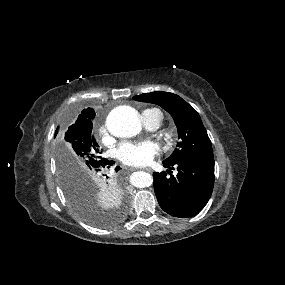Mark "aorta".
Instances as JSON below:
<instances>
[{
	"label": "aorta",
	"mask_w": 285,
	"mask_h": 285,
	"mask_svg": "<svg viewBox=\"0 0 285 285\" xmlns=\"http://www.w3.org/2000/svg\"><path fill=\"white\" fill-rule=\"evenodd\" d=\"M108 131L115 137L126 138L137 135L141 131V118L138 111L130 106L114 108L106 119ZM152 176L143 171L134 172L130 183L137 188H145L152 184Z\"/></svg>",
	"instance_id": "762f6f07"
}]
</instances>
